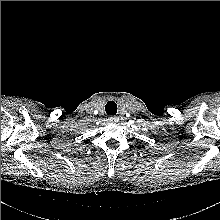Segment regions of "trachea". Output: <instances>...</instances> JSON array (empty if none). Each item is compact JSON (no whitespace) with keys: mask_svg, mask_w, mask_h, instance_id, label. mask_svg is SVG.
<instances>
[{"mask_svg":"<svg viewBox=\"0 0 220 220\" xmlns=\"http://www.w3.org/2000/svg\"><path fill=\"white\" fill-rule=\"evenodd\" d=\"M105 111L108 115H116L117 104L114 101H108L105 105Z\"/></svg>","mask_w":220,"mask_h":220,"instance_id":"trachea-1","label":"trachea"}]
</instances>
